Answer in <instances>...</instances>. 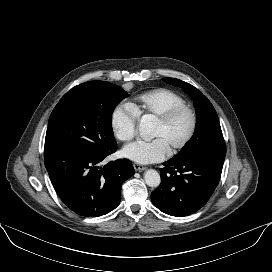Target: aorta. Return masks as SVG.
Here are the masks:
<instances>
[{"label":"aorta","mask_w":272,"mask_h":272,"mask_svg":"<svg viewBox=\"0 0 272 272\" xmlns=\"http://www.w3.org/2000/svg\"><path fill=\"white\" fill-rule=\"evenodd\" d=\"M139 132L144 140H151L154 137L152 122L145 118L142 119L139 123ZM144 180L150 187H158L161 182L160 174L153 169H149L144 173Z\"/></svg>","instance_id":"1"}]
</instances>
